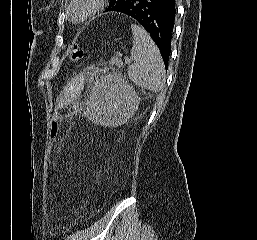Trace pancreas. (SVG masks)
<instances>
[{
  "label": "pancreas",
  "mask_w": 257,
  "mask_h": 240,
  "mask_svg": "<svg viewBox=\"0 0 257 240\" xmlns=\"http://www.w3.org/2000/svg\"><path fill=\"white\" fill-rule=\"evenodd\" d=\"M110 64L114 66L116 70H119L123 66L122 61L118 57L111 58Z\"/></svg>",
  "instance_id": "cf45deb5"
}]
</instances>
